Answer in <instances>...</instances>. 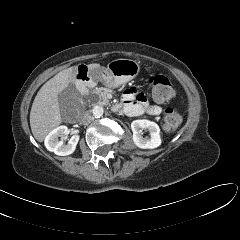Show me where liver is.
<instances>
[{
	"label": "liver",
	"mask_w": 240,
	"mask_h": 240,
	"mask_svg": "<svg viewBox=\"0 0 240 240\" xmlns=\"http://www.w3.org/2000/svg\"><path fill=\"white\" fill-rule=\"evenodd\" d=\"M100 64L87 65L89 71L97 69ZM78 67H70L47 81L38 91L30 112V127L34 138L42 142L46 135L61 124L58 95L65 90L69 84L76 82Z\"/></svg>",
	"instance_id": "obj_1"
}]
</instances>
